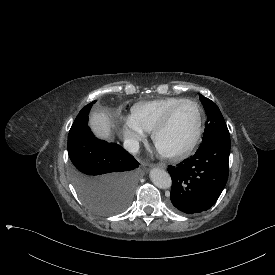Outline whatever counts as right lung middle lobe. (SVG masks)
Wrapping results in <instances>:
<instances>
[{"mask_svg":"<svg viewBox=\"0 0 275 275\" xmlns=\"http://www.w3.org/2000/svg\"><path fill=\"white\" fill-rule=\"evenodd\" d=\"M95 102L80 111L69 131L70 176L85 205L96 214L109 216L129 206L142 169L121 146L91 132L88 114Z\"/></svg>","mask_w":275,"mask_h":275,"instance_id":"1","label":"right lung middle lobe"}]
</instances>
